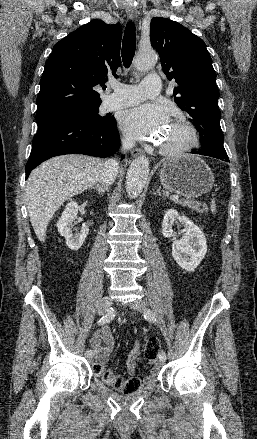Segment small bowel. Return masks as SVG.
<instances>
[{"instance_id": "c3829d8e", "label": "small bowel", "mask_w": 257, "mask_h": 439, "mask_svg": "<svg viewBox=\"0 0 257 439\" xmlns=\"http://www.w3.org/2000/svg\"><path fill=\"white\" fill-rule=\"evenodd\" d=\"M89 344L94 351L95 361L104 366L108 362L115 345V339L109 327L103 326L97 329L93 333ZM140 363V347L139 343L135 342L129 351L126 361L127 372L131 377L136 375L137 367ZM150 363L152 368L150 372L143 378L141 383L150 384L158 375L159 369L156 361L151 360Z\"/></svg>"}]
</instances>
